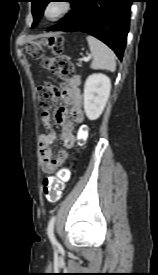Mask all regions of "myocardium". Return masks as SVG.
Instances as JSON below:
<instances>
[{
	"instance_id": "1",
	"label": "myocardium",
	"mask_w": 158,
	"mask_h": 275,
	"mask_svg": "<svg viewBox=\"0 0 158 275\" xmlns=\"http://www.w3.org/2000/svg\"><path fill=\"white\" fill-rule=\"evenodd\" d=\"M55 4L60 5L61 9L56 15L50 16L49 9ZM71 10H72V4L70 1H68V0H52L45 4V6L43 8V17L48 21L55 22V21L60 20L64 16H66L68 13H70Z\"/></svg>"
}]
</instances>
